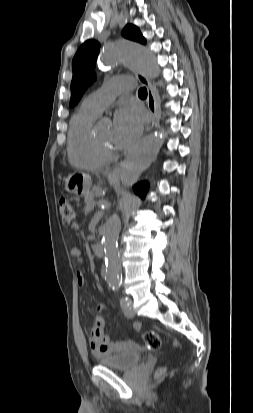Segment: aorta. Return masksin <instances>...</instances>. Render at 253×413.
<instances>
[{"label":"aorta","instance_id":"aorta-1","mask_svg":"<svg viewBox=\"0 0 253 413\" xmlns=\"http://www.w3.org/2000/svg\"><path fill=\"white\" fill-rule=\"evenodd\" d=\"M102 62L113 64L123 62L129 68L142 72L150 78L159 76L160 70L153 53L142 44L131 40H119L108 45L102 54ZM166 134L157 132L145 137L138 143L120 170V179L124 187H131L142 172L149 167L162 146ZM121 230V220L117 212L106 221L102 230V245L105 253V278L109 286H120L121 264L117 241Z\"/></svg>","mask_w":253,"mask_h":413}]
</instances>
